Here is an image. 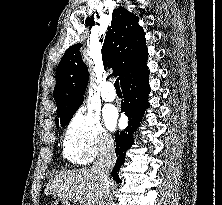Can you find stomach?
<instances>
[{
  "label": "stomach",
  "instance_id": "stomach-1",
  "mask_svg": "<svg viewBox=\"0 0 222 205\" xmlns=\"http://www.w3.org/2000/svg\"><path fill=\"white\" fill-rule=\"evenodd\" d=\"M49 205H66V203L61 199H55L54 201H51Z\"/></svg>",
  "mask_w": 222,
  "mask_h": 205
}]
</instances>
